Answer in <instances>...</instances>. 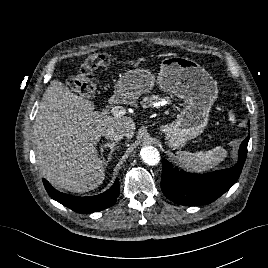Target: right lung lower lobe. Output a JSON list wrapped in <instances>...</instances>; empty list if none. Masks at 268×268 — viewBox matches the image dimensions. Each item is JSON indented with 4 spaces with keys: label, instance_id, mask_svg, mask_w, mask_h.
Segmentation results:
<instances>
[{
    "label": "right lung lower lobe",
    "instance_id": "obj_1",
    "mask_svg": "<svg viewBox=\"0 0 268 268\" xmlns=\"http://www.w3.org/2000/svg\"><path fill=\"white\" fill-rule=\"evenodd\" d=\"M43 184L52 199L75 212L81 213H91L106 209L114 204L119 196L118 179L115 180L113 186L108 191L91 197H78L59 192L45 179H43Z\"/></svg>",
    "mask_w": 268,
    "mask_h": 268
}]
</instances>
